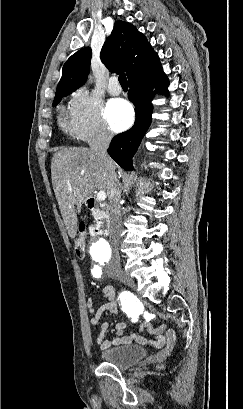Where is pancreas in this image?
Here are the masks:
<instances>
[{"label":"pancreas","mask_w":243,"mask_h":409,"mask_svg":"<svg viewBox=\"0 0 243 409\" xmlns=\"http://www.w3.org/2000/svg\"><path fill=\"white\" fill-rule=\"evenodd\" d=\"M101 214H102L101 211H96V212L93 213V216H94V218L97 220V219H99V217H100Z\"/></svg>","instance_id":"obj_1"}]
</instances>
